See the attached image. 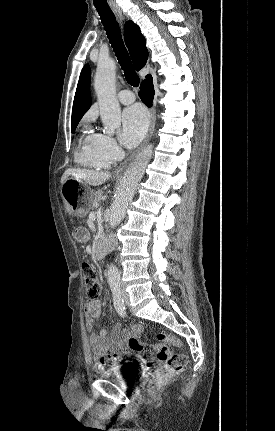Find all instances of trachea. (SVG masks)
<instances>
[{
	"label": "trachea",
	"mask_w": 275,
	"mask_h": 431,
	"mask_svg": "<svg viewBox=\"0 0 275 431\" xmlns=\"http://www.w3.org/2000/svg\"><path fill=\"white\" fill-rule=\"evenodd\" d=\"M96 10L100 16L113 51L124 71L127 82L134 87H138L140 79L134 70L128 51L124 45L121 30L114 13L110 8L96 7Z\"/></svg>",
	"instance_id": "obj_1"
}]
</instances>
